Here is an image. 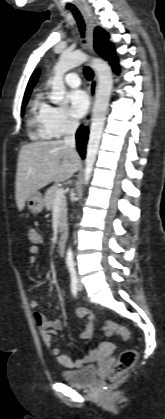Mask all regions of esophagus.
Instances as JSON below:
<instances>
[{"instance_id": "obj_1", "label": "esophagus", "mask_w": 165, "mask_h": 419, "mask_svg": "<svg viewBox=\"0 0 165 419\" xmlns=\"http://www.w3.org/2000/svg\"><path fill=\"white\" fill-rule=\"evenodd\" d=\"M81 9L83 10L85 17L88 21V39H89V46H90V51L92 54H94V28H95V23L94 20L92 18V15L90 14V12L88 11V9L83 6L80 5ZM94 72V77L90 83V87H89V95H90V108L89 111L83 121V125L87 126L90 121H91V116H92V108H93V103H94V99H95V94H96V90H97V85H98V77H97V73L96 71L93 69Z\"/></svg>"}]
</instances>
